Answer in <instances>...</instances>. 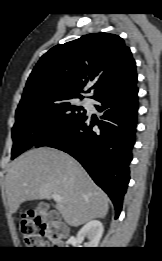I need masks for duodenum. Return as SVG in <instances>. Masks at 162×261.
<instances>
[{
  "label": "duodenum",
  "mask_w": 162,
  "mask_h": 261,
  "mask_svg": "<svg viewBox=\"0 0 162 261\" xmlns=\"http://www.w3.org/2000/svg\"><path fill=\"white\" fill-rule=\"evenodd\" d=\"M63 232H64V236L66 235V232L63 230Z\"/></svg>",
  "instance_id": "duodenum-1"
}]
</instances>
